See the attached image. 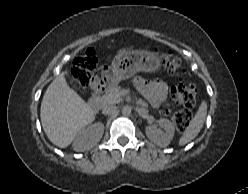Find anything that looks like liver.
Here are the masks:
<instances>
[{"mask_svg": "<svg viewBox=\"0 0 248 194\" xmlns=\"http://www.w3.org/2000/svg\"><path fill=\"white\" fill-rule=\"evenodd\" d=\"M40 119L48 139L66 148L79 131L95 120V112L68 86L62 72L45 91Z\"/></svg>", "mask_w": 248, "mask_h": 194, "instance_id": "obj_1", "label": "liver"}]
</instances>
